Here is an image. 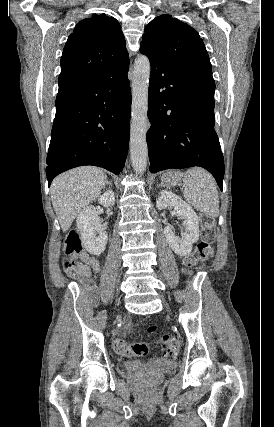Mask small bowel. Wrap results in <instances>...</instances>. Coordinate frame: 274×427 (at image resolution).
Wrapping results in <instances>:
<instances>
[{"mask_svg":"<svg viewBox=\"0 0 274 427\" xmlns=\"http://www.w3.org/2000/svg\"><path fill=\"white\" fill-rule=\"evenodd\" d=\"M80 260L81 262L78 263V266L82 276L90 278L92 272L98 274L101 271L100 262L88 252H81Z\"/></svg>","mask_w":274,"mask_h":427,"instance_id":"1","label":"small bowel"}]
</instances>
